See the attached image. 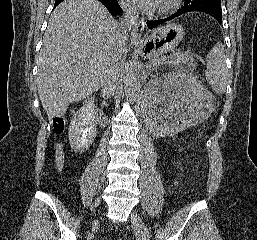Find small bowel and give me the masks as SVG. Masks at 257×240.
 I'll use <instances>...</instances> for the list:
<instances>
[{
  "label": "small bowel",
  "instance_id": "small-bowel-1",
  "mask_svg": "<svg viewBox=\"0 0 257 240\" xmlns=\"http://www.w3.org/2000/svg\"><path fill=\"white\" fill-rule=\"evenodd\" d=\"M56 156L58 159L63 157V145L61 143L57 144L56 146Z\"/></svg>",
  "mask_w": 257,
  "mask_h": 240
}]
</instances>
